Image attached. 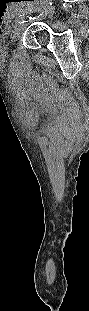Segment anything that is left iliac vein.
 <instances>
[{
	"label": "left iliac vein",
	"mask_w": 89,
	"mask_h": 311,
	"mask_svg": "<svg viewBox=\"0 0 89 311\" xmlns=\"http://www.w3.org/2000/svg\"><path fill=\"white\" fill-rule=\"evenodd\" d=\"M23 29H24V25L19 24V25L12 31L11 40H12L13 42H15V41L18 40V38L20 37V35H21L22 32H23Z\"/></svg>",
	"instance_id": "obj_1"
}]
</instances>
